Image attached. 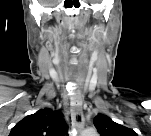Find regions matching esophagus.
<instances>
[{
	"mask_svg": "<svg viewBox=\"0 0 151 136\" xmlns=\"http://www.w3.org/2000/svg\"><path fill=\"white\" fill-rule=\"evenodd\" d=\"M70 104L73 108V125L77 131L81 132L84 128V117L79 104V97L77 94H74L73 98L70 101Z\"/></svg>",
	"mask_w": 151,
	"mask_h": 136,
	"instance_id": "esophagus-1",
	"label": "esophagus"
}]
</instances>
